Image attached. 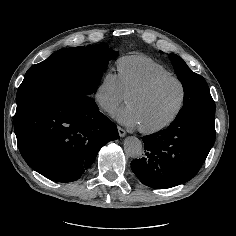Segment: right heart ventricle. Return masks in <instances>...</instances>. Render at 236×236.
<instances>
[{
	"label": "right heart ventricle",
	"instance_id": "obj_1",
	"mask_svg": "<svg viewBox=\"0 0 236 236\" xmlns=\"http://www.w3.org/2000/svg\"><path fill=\"white\" fill-rule=\"evenodd\" d=\"M117 68L128 95L156 78L173 76L168 68L146 55L124 56L118 59Z\"/></svg>",
	"mask_w": 236,
	"mask_h": 236
}]
</instances>
